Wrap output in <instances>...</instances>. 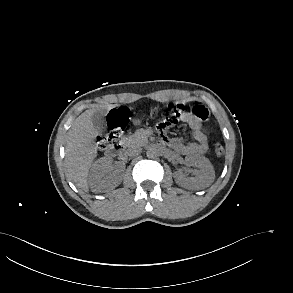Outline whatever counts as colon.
Instances as JSON below:
<instances>
[{
	"instance_id": "1",
	"label": "colon",
	"mask_w": 293,
	"mask_h": 293,
	"mask_svg": "<svg viewBox=\"0 0 293 293\" xmlns=\"http://www.w3.org/2000/svg\"><path fill=\"white\" fill-rule=\"evenodd\" d=\"M188 110L200 121H205L209 117L208 109L202 104H196L188 107L186 104L181 102L168 103L164 108L166 118L158 125V132L162 140L169 139L168 130L174 126L181 115ZM127 119L128 112L125 109H117L110 112L107 118L108 130L100 136L99 145L101 148H109L118 142L126 125ZM214 152L217 156H221L224 153L223 146L220 143H216L214 146Z\"/></svg>"
}]
</instances>
